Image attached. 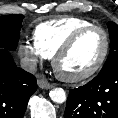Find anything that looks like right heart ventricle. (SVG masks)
<instances>
[{
	"label": "right heart ventricle",
	"instance_id": "e07e8e85",
	"mask_svg": "<svg viewBox=\"0 0 118 118\" xmlns=\"http://www.w3.org/2000/svg\"><path fill=\"white\" fill-rule=\"evenodd\" d=\"M92 23L80 17H62L39 24L33 33L35 45L47 58H52L57 49L78 29Z\"/></svg>",
	"mask_w": 118,
	"mask_h": 118
}]
</instances>
